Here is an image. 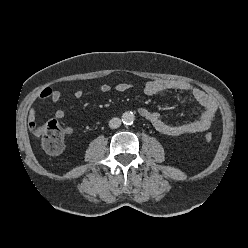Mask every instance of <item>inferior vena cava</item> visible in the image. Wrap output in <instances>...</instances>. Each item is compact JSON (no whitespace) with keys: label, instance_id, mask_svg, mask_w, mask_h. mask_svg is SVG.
Masks as SVG:
<instances>
[{"label":"inferior vena cava","instance_id":"602c4592","mask_svg":"<svg viewBox=\"0 0 248 248\" xmlns=\"http://www.w3.org/2000/svg\"><path fill=\"white\" fill-rule=\"evenodd\" d=\"M120 125H121V119L118 117L112 118L109 121V127L111 129H116V128L120 127Z\"/></svg>","mask_w":248,"mask_h":248}]
</instances>
